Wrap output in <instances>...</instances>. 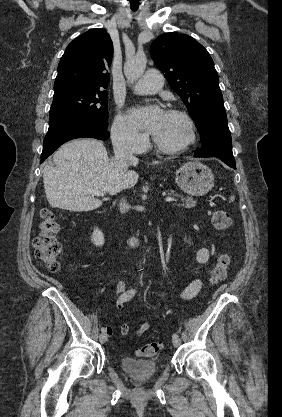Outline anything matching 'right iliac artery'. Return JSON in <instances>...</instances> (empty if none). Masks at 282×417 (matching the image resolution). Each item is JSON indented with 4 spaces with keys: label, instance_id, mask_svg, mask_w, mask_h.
Listing matches in <instances>:
<instances>
[{
    "label": "right iliac artery",
    "instance_id": "right-iliac-artery-1",
    "mask_svg": "<svg viewBox=\"0 0 282 417\" xmlns=\"http://www.w3.org/2000/svg\"><path fill=\"white\" fill-rule=\"evenodd\" d=\"M135 293H136V290H135V289H131V290L127 291V293L124 295L123 300H124L125 302H126V301H129L131 298H133V296L135 295ZM101 331L104 333V332H105V328H104V327H102V328H101Z\"/></svg>",
    "mask_w": 282,
    "mask_h": 417
}]
</instances>
